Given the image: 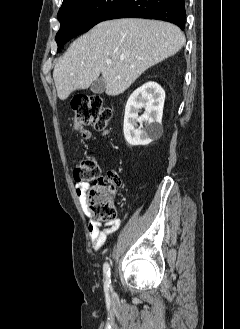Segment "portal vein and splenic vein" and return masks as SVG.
Masks as SVG:
<instances>
[{
  "mask_svg": "<svg viewBox=\"0 0 240 329\" xmlns=\"http://www.w3.org/2000/svg\"><path fill=\"white\" fill-rule=\"evenodd\" d=\"M106 63H107V64H111V60H107Z\"/></svg>",
  "mask_w": 240,
  "mask_h": 329,
  "instance_id": "1",
  "label": "portal vein and splenic vein"
}]
</instances>
